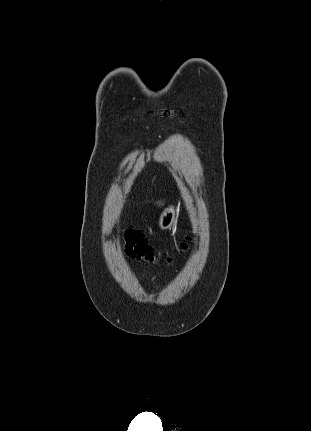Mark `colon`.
Wrapping results in <instances>:
<instances>
[{
    "instance_id": "1",
    "label": "colon",
    "mask_w": 311,
    "mask_h": 431,
    "mask_svg": "<svg viewBox=\"0 0 311 431\" xmlns=\"http://www.w3.org/2000/svg\"><path fill=\"white\" fill-rule=\"evenodd\" d=\"M125 240H126L125 250L127 255L137 260H144V261L155 260V255L151 246L148 244L146 239L139 232L137 231L126 232ZM188 240L189 238H187L185 241L182 242L181 247L183 249H186L188 247V243H187Z\"/></svg>"
}]
</instances>
